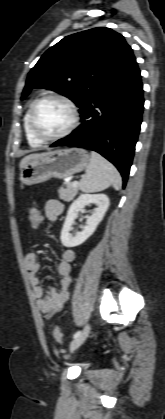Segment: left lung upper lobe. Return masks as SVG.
Masks as SVG:
<instances>
[{
    "instance_id": "left-lung-upper-lobe-1",
    "label": "left lung upper lobe",
    "mask_w": 165,
    "mask_h": 419,
    "mask_svg": "<svg viewBox=\"0 0 165 419\" xmlns=\"http://www.w3.org/2000/svg\"><path fill=\"white\" fill-rule=\"evenodd\" d=\"M133 56L124 37L109 28L66 36L31 69L21 99L33 88H46L70 98L81 109Z\"/></svg>"
}]
</instances>
